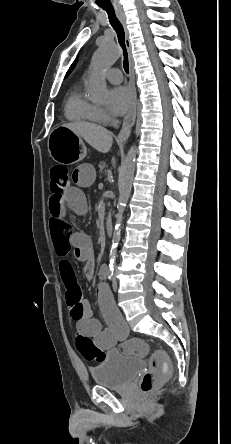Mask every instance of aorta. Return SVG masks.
<instances>
[{"label": "aorta", "instance_id": "aorta-1", "mask_svg": "<svg viewBox=\"0 0 231 444\" xmlns=\"http://www.w3.org/2000/svg\"><path fill=\"white\" fill-rule=\"evenodd\" d=\"M118 57L119 50L117 46L115 43L109 41L103 43L94 53L91 64L92 70L88 80V91L92 100L104 101L107 98L108 89L102 73L103 70L112 66ZM135 163L136 151L134 147H131L119 177L120 194L117 204L116 223L112 237L111 262L114 261L116 248L120 241L123 213L132 189Z\"/></svg>", "mask_w": 231, "mask_h": 444}]
</instances>
